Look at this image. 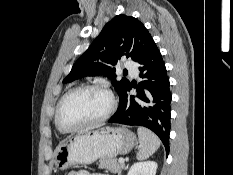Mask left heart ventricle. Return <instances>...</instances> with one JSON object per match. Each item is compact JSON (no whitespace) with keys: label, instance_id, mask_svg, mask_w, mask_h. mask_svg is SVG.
<instances>
[{"label":"left heart ventricle","instance_id":"obj_1","mask_svg":"<svg viewBox=\"0 0 233 175\" xmlns=\"http://www.w3.org/2000/svg\"><path fill=\"white\" fill-rule=\"evenodd\" d=\"M109 107L108 96L96 89L81 90L63 103L60 121L65 127H75L94 120L105 113Z\"/></svg>","mask_w":233,"mask_h":175}]
</instances>
